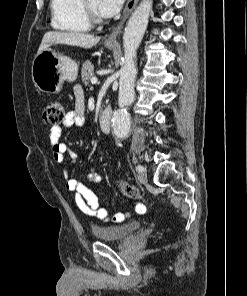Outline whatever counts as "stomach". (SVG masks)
I'll use <instances>...</instances> for the list:
<instances>
[{"instance_id": "1", "label": "stomach", "mask_w": 247, "mask_h": 296, "mask_svg": "<svg viewBox=\"0 0 247 296\" xmlns=\"http://www.w3.org/2000/svg\"><path fill=\"white\" fill-rule=\"evenodd\" d=\"M105 47L111 49L113 44L105 43ZM31 73L38 90L56 94L61 90L64 81H74L77 78L78 65L71 58L49 47L36 55Z\"/></svg>"}]
</instances>
